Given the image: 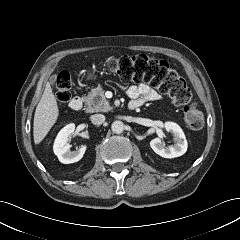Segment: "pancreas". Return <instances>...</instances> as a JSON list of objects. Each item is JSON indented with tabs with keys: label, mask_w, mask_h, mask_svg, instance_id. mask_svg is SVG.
Returning <instances> with one entry per match:
<instances>
[{
	"label": "pancreas",
	"mask_w": 240,
	"mask_h": 240,
	"mask_svg": "<svg viewBox=\"0 0 240 240\" xmlns=\"http://www.w3.org/2000/svg\"><path fill=\"white\" fill-rule=\"evenodd\" d=\"M86 104V112H108L112 110L109 101L104 96V90L101 86L92 89L87 96L83 97Z\"/></svg>",
	"instance_id": "obj_1"
}]
</instances>
